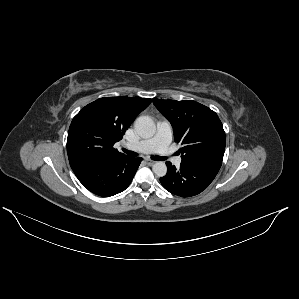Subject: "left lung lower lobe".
I'll list each match as a JSON object with an SVG mask.
<instances>
[{
  "label": "left lung lower lobe",
  "instance_id": "obj_1",
  "mask_svg": "<svg viewBox=\"0 0 299 299\" xmlns=\"http://www.w3.org/2000/svg\"><path fill=\"white\" fill-rule=\"evenodd\" d=\"M167 174L160 178L163 187L178 196L190 197L205 190L217 175L222 162L213 159L182 161L176 169L167 162Z\"/></svg>",
  "mask_w": 299,
  "mask_h": 299
}]
</instances>
